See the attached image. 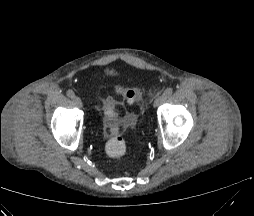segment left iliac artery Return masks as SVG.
<instances>
[{
    "mask_svg": "<svg viewBox=\"0 0 254 216\" xmlns=\"http://www.w3.org/2000/svg\"><path fill=\"white\" fill-rule=\"evenodd\" d=\"M172 93H173V89H172V88H167V89L164 91L163 95H164L166 98H168V97H170V96L172 95Z\"/></svg>",
    "mask_w": 254,
    "mask_h": 216,
    "instance_id": "44dca946",
    "label": "left iliac artery"
}]
</instances>
